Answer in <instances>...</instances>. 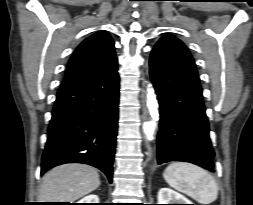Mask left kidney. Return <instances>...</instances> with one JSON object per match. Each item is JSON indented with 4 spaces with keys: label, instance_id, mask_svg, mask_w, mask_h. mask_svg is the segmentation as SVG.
Returning <instances> with one entry per match:
<instances>
[{
    "label": "left kidney",
    "instance_id": "1",
    "mask_svg": "<svg viewBox=\"0 0 253 205\" xmlns=\"http://www.w3.org/2000/svg\"><path fill=\"white\" fill-rule=\"evenodd\" d=\"M158 204H192V202L170 188H161L158 192Z\"/></svg>",
    "mask_w": 253,
    "mask_h": 205
}]
</instances>
